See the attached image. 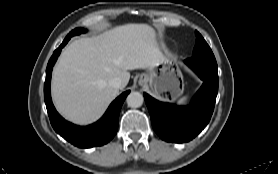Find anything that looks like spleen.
Segmentation results:
<instances>
[{
  "label": "spleen",
  "mask_w": 278,
  "mask_h": 174,
  "mask_svg": "<svg viewBox=\"0 0 278 174\" xmlns=\"http://www.w3.org/2000/svg\"><path fill=\"white\" fill-rule=\"evenodd\" d=\"M188 100H189V96L188 95L184 96L177 102V104L178 105H186L188 103Z\"/></svg>",
  "instance_id": "spleen-1"
}]
</instances>
